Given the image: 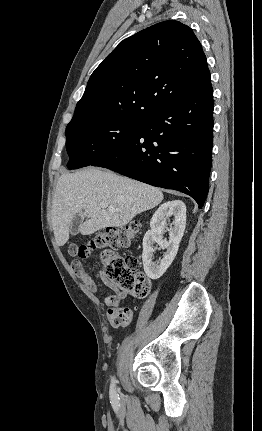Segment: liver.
<instances>
[{"mask_svg":"<svg viewBox=\"0 0 262 431\" xmlns=\"http://www.w3.org/2000/svg\"><path fill=\"white\" fill-rule=\"evenodd\" d=\"M164 196L153 186L122 177L112 171L87 167L75 173L62 174L52 202V227L58 246L69 239L76 214L88 218L80 227L90 235L106 227H122L137 214L159 205ZM105 202L115 208L100 206Z\"/></svg>","mask_w":262,"mask_h":431,"instance_id":"obj_1","label":"liver"}]
</instances>
